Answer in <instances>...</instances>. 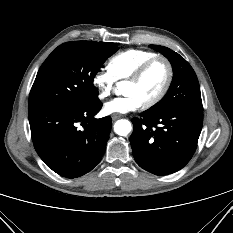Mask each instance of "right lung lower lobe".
<instances>
[{
	"mask_svg": "<svg viewBox=\"0 0 233 233\" xmlns=\"http://www.w3.org/2000/svg\"><path fill=\"white\" fill-rule=\"evenodd\" d=\"M101 108L96 97L76 108L29 112L35 150L50 169L63 177L76 178L100 162L111 131L110 116L94 118Z\"/></svg>",
	"mask_w": 233,
	"mask_h": 233,
	"instance_id": "obj_1",
	"label": "right lung lower lobe"
}]
</instances>
